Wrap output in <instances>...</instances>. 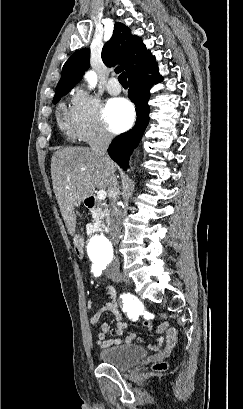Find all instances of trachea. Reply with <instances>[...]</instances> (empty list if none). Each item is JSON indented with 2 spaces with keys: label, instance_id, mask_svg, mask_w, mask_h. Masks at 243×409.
Listing matches in <instances>:
<instances>
[{
  "label": "trachea",
  "instance_id": "1",
  "mask_svg": "<svg viewBox=\"0 0 243 409\" xmlns=\"http://www.w3.org/2000/svg\"><path fill=\"white\" fill-rule=\"evenodd\" d=\"M118 80H119V82H120V84H121L122 86H127V78H126L125 72H122V73L119 75Z\"/></svg>",
  "mask_w": 243,
  "mask_h": 409
}]
</instances>
